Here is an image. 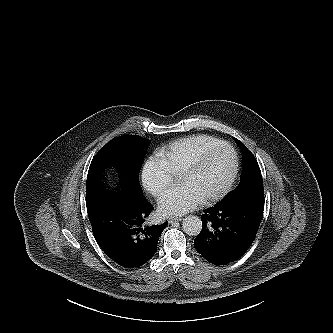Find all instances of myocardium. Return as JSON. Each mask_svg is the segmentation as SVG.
<instances>
[{"label": "myocardium", "mask_w": 333, "mask_h": 333, "mask_svg": "<svg viewBox=\"0 0 333 333\" xmlns=\"http://www.w3.org/2000/svg\"><path fill=\"white\" fill-rule=\"evenodd\" d=\"M223 148H228L231 151V153L233 155V168H232V171H231L229 177L227 178L226 182L222 185V187L219 188L214 193L203 198V201L205 203H211V202L221 199L232 189V187L237 179L239 169H240L239 154H238L237 150L234 148V146L226 141H223L217 145H214V146L206 149L202 153H200L188 166H186L179 173V177L182 178V177H186V176H189V175L197 172L205 164V162L208 160V158L210 156H212L214 153H216L217 151H219L220 149H223Z\"/></svg>", "instance_id": "obj_1"}]
</instances>
